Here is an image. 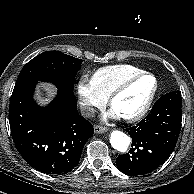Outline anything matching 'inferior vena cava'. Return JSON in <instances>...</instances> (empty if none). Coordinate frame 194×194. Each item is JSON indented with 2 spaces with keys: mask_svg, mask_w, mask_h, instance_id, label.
Instances as JSON below:
<instances>
[{
  "mask_svg": "<svg viewBox=\"0 0 194 194\" xmlns=\"http://www.w3.org/2000/svg\"><path fill=\"white\" fill-rule=\"evenodd\" d=\"M81 114L85 117H93L95 114V109L88 105V104H83L80 106Z\"/></svg>",
  "mask_w": 194,
  "mask_h": 194,
  "instance_id": "inferior-vena-cava-1",
  "label": "inferior vena cava"
}]
</instances>
